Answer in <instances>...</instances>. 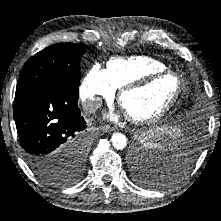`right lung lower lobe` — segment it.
Returning a JSON list of instances; mask_svg holds the SVG:
<instances>
[{
	"instance_id": "right-lung-lower-lobe-1",
	"label": "right lung lower lobe",
	"mask_w": 221,
	"mask_h": 221,
	"mask_svg": "<svg viewBox=\"0 0 221 221\" xmlns=\"http://www.w3.org/2000/svg\"><path fill=\"white\" fill-rule=\"evenodd\" d=\"M78 91L44 87L15 100L14 120L26 162L31 169L67 166L85 147L86 122L77 106Z\"/></svg>"
}]
</instances>
